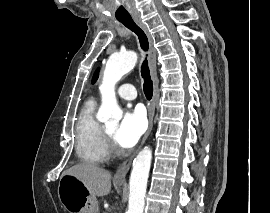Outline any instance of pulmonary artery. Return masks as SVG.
Listing matches in <instances>:
<instances>
[{
    "mask_svg": "<svg viewBox=\"0 0 270 213\" xmlns=\"http://www.w3.org/2000/svg\"><path fill=\"white\" fill-rule=\"evenodd\" d=\"M118 95L125 100L133 101L137 98L136 89L131 84L121 85L118 89Z\"/></svg>",
    "mask_w": 270,
    "mask_h": 213,
    "instance_id": "1",
    "label": "pulmonary artery"
}]
</instances>
